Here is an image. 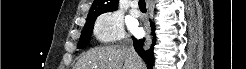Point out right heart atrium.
<instances>
[{"instance_id":"d8ad5b80","label":"right heart atrium","mask_w":246,"mask_h":69,"mask_svg":"<svg viewBox=\"0 0 246 69\" xmlns=\"http://www.w3.org/2000/svg\"><path fill=\"white\" fill-rule=\"evenodd\" d=\"M93 34L101 43H113L124 38L121 15L113 11L101 14L94 23Z\"/></svg>"}]
</instances>
